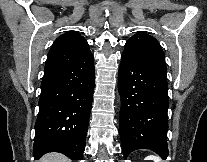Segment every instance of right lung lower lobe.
I'll return each mask as SVG.
<instances>
[{
  "mask_svg": "<svg viewBox=\"0 0 207 162\" xmlns=\"http://www.w3.org/2000/svg\"><path fill=\"white\" fill-rule=\"evenodd\" d=\"M94 57L45 72L35 123L33 156L60 152L83 160L94 90Z\"/></svg>",
  "mask_w": 207,
  "mask_h": 162,
  "instance_id": "obj_1",
  "label": "right lung lower lobe"
}]
</instances>
